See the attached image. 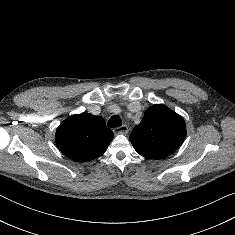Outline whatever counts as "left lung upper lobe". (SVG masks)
<instances>
[{"mask_svg":"<svg viewBox=\"0 0 235 235\" xmlns=\"http://www.w3.org/2000/svg\"><path fill=\"white\" fill-rule=\"evenodd\" d=\"M185 135V122L180 115L164 105H153L147 109L129 139L140 155L161 159L178 149Z\"/></svg>","mask_w":235,"mask_h":235,"instance_id":"1","label":"left lung upper lobe"}]
</instances>
